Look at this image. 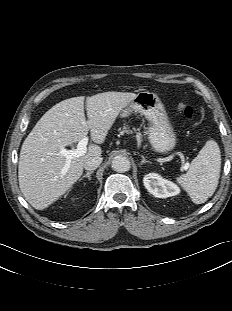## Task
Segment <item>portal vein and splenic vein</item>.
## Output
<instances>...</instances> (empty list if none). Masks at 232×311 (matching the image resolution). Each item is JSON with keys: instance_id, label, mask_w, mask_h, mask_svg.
Returning a JSON list of instances; mask_svg holds the SVG:
<instances>
[{"instance_id": "18ae733b", "label": "portal vein and splenic vein", "mask_w": 232, "mask_h": 311, "mask_svg": "<svg viewBox=\"0 0 232 311\" xmlns=\"http://www.w3.org/2000/svg\"><path fill=\"white\" fill-rule=\"evenodd\" d=\"M87 144L88 137H85L78 142L76 149L67 150L64 147H61L59 153L61 156H64L66 158V165L62 169V174H65L67 172L69 163L73 158L83 156L87 152Z\"/></svg>"}]
</instances>
